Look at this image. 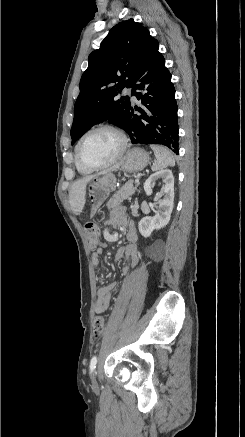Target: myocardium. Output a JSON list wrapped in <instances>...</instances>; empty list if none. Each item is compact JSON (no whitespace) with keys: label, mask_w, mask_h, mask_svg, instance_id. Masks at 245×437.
<instances>
[{"label":"myocardium","mask_w":245,"mask_h":437,"mask_svg":"<svg viewBox=\"0 0 245 437\" xmlns=\"http://www.w3.org/2000/svg\"><path fill=\"white\" fill-rule=\"evenodd\" d=\"M99 130H109L114 132L120 139V149L116 156L111 159L110 161L103 163V164H92L87 161H85L80 152L81 144L84 141V139L91 133L99 131ZM128 149V138L124 131L120 129L119 127L112 125V124H99L96 126L91 127L87 131H85L79 138L76 147H75V155L77 160L82 164L84 167H87L92 170H98V169H104L113 166L114 164L118 163L125 155L126 151Z\"/></svg>","instance_id":"f54148a6"}]
</instances>
